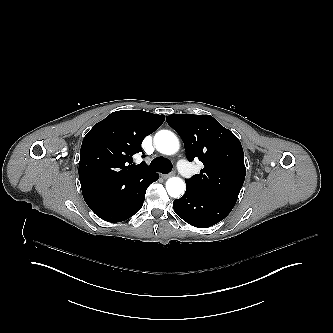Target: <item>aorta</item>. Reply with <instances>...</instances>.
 Returning a JSON list of instances; mask_svg holds the SVG:
<instances>
[{"instance_id":"obj_1","label":"aorta","mask_w":333,"mask_h":333,"mask_svg":"<svg viewBox=\"0 0 333 333\" xmlns=\"http://www.w3.org/2000/svg\"><path fill=\"white\" fill-rule=\"evenodd\" d=\"M157 150L165 155H175L180 149V143L176 135L170 131H159L154 138ZM186 188L184 180L180 177H170L166 182V190L171 197L182 196Z\"/></svg>"}]
</instances>
